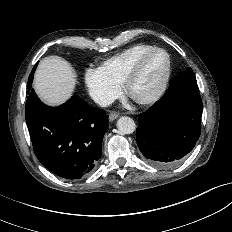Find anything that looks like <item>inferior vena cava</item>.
Here are the masks:
<instances>
[{
	"label": "inferior vena cava",
	"mask_w": 232,
	"mask_h": 232,
	"mask_svg": "<svg viewBox=\"0 0 232 232\" xmlns=\"http://www.w3.org/2000/svg\"><path fill=\"white\" fill-rule=\"evenodd\" d=\"M94 101L102 107H106L113 103V98L108 95L99 94L94 96Z\"/></svg>",
	"instance_id": "602c4592"
}]
</instances>
